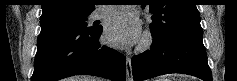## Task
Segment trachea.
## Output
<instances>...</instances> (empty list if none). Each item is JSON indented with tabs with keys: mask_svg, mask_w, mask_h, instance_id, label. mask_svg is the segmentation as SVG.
Masks as SVG:
<instances>
[{
	"mask_svg": "<svg viewBox=\"0 0 237 81\" xmlns=\"http://www.w3.org/2000/svg\"><path fill=\"white\" fill-rule=\"evenodd\" d=\"M115 3H118V4H113V5H123L122 4L123 2H115Z\"/></svg>",
	"mask_w": 237,
	"mask_h": 81,
	"instance_id": "3493384b",
	"label": "trachea"
}]
</instances>
